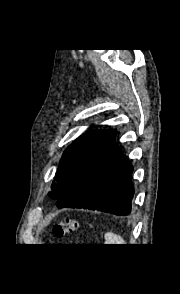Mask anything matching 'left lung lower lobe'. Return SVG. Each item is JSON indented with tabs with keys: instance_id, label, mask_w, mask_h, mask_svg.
<instances>
[{
	"instance_id": "left-lung-lower-lobe-1",
	"label": "left lung lower lobe",
	"mask_w": 180,
	"mask_h": 294,
	"mask_svg": "<svg viewBox=\"0 0 180 294\" xmlns=\"http://www.w3.org/2000/svg\"><path fill=\"white\" fill-rule=\"evenodd\" d=\"M116 130L105 140L96 155L80 173L57 207L99 210L128 215L134 189L133 167L115 143Z\"/></svg>"
}]
</instances>
